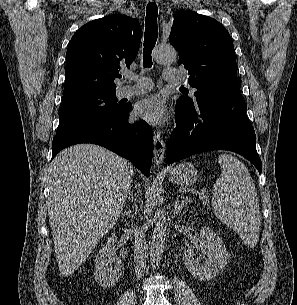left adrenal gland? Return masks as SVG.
Segmentation results:
<instances>
[{"mask_svg": "<svg viewBox=\"0 0 297 305\" xmlns=\"http://www.w3.org/2000/svg\"><path fill=\"white\" fill-rule=\"evenodd\" d=\"M188 202V198L183 199L180 201V195L177 196L176 202L174 205V214H179L182 211V208L186 206Z\"/></svg>", "mask_w": 297, "mask_h": 305, "instance_id": "left-adrenal-gland-1", "label": "left adrenal gland"}]
</instances>
